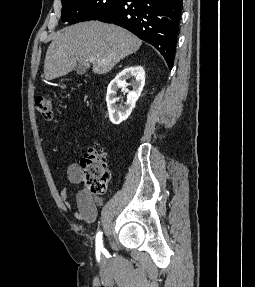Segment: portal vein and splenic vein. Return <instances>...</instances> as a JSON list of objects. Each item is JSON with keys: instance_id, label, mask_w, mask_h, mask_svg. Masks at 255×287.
Masks as SVG:
<instances>
[{"instance_id": "obj_1", "label": "portal vein and splenic vein", "mask_w": 255, "mask_h": 287, "mask_svg": "<svg viewBox=\"0 0 255 287\" xmlns=\"http://www.w3.org/2000/svg\"><path fill=\"white\" fill-rule=\"evenodd\" d=\"M87 62H97L96 58H88ZM99 64V62H97Z\"/></svg>"}]
</instances>
